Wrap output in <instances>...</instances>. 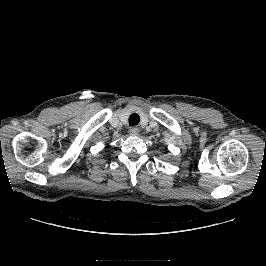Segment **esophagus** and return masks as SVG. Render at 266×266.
Segmentation results:
<instances>
[{
	"label": "esophagus",
	"mask_w": 266,
	"mask_h": 266,
	"mask_svg": "<svg viewBox=\"0 0 266 266\" xmlns=\"http://www.w3.org/2000/svg\"><path fill=\"white\" fill-rule=\"evenodd\" d=\"M138 133H139V129L138 128L132 127V128L129 129V134L131 136H137Z\"/></svg>",
	"instance_id": "34e87169"
}]
</instances>
